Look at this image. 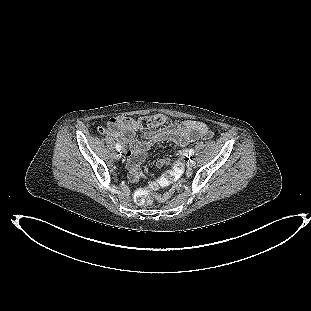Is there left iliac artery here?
Wrapping results in <instances>:
<instances>
[{"instance_id":"left-iliac-artery-1","label":"left iliac artery","mask_w":311,"mask_h":311,"mask_svg":"<svg viewBox=\"0 0 311 311\" xmlns=\"http://www.w3.org/2000/svg\"><path fill=\"white\" fill-rule=\"evenodd\" d=\"M189 155H190V156H193V155H194V149H190V150H189Z\"/></svg>"}]
</instances>
